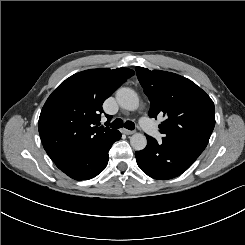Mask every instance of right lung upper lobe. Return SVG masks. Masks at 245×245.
Here are the masks:
<instances>
[{"instance_id": "right-lung-upper-lobe-1", "label": "right lung upper lobe", "mask_w": 245, "mask_h": 245, "mask_svg": "<svg viewBox=\"0 0 245 245\" xmlns=\"http://www.w3.org/2000/svg\"><path fill=\"white\" fill-rule=\"evenodd\" d=\"M133 75L127 68L85 70L53 91L42 108L38 128L44 149L55 164L115 131L100 126L102 104Z\"/></svg>"}]
</instances>
